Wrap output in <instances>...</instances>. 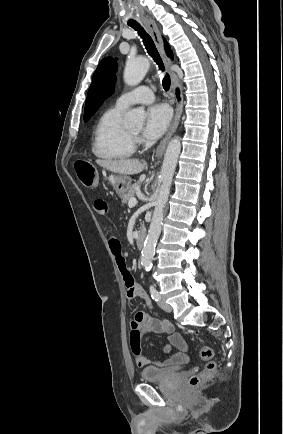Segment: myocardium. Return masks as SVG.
I'll return each instance as SVG.
<instances>
[{"label": "myocardium", "instance_id": "myocardium-1", "mask_svg": "<svg viewBox=\"0 0 283 434\" xmlns=\"http://www.w3.org/2000/svg\"><path fill=\"white\" fill-rule=\"evenodd\" d=\"M130 135L135 138L137 136V133H133L132 131H129Z\"/></svg>", "mask_w": 283, "mask_h": 434}]
</instances>
